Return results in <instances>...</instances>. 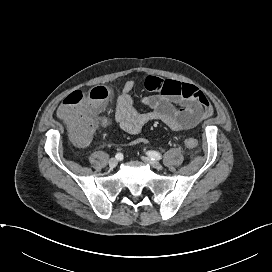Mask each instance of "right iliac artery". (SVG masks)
Masks as SVG:
<instances>
[{
  "label": "right iliac artery",
  "mask_w": 272,
  "mask_h": 272,
  "mask_svg": "<svg viewBox=\"0 0 272 272\" xmlns=\"http://www.w3.org/2000/svg\"><path fill=\"white\" fill-rule=\"evenodd\" d=\"M115 157H116L117 160H122L123 159V154L122 153H117L115 155Z\"/></svg>",
  "instance_id": "right-iliac-artery-1"
}]
</instances>
